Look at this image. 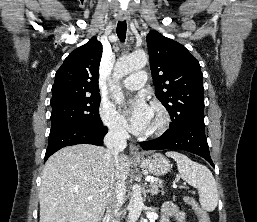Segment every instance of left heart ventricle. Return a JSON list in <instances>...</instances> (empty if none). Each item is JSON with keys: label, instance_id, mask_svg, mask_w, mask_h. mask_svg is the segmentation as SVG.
Instances as JSON below:
<instances>
[{"label": "left heart ventricle", "instance_id": "1", "mask_svg": "<svg viewBox=\"0 0 257 222\" xmlns=\"http://www.w3.org/2000/svg\"><path fill=\"white\" fill-rule=\"evenodd\" d=\"M155 120H156V113H155V111L152 109V119H151L149 128H151V127L154 125Z\"/></svg>", "mask_w": 257, "mask_h": 222}]
</instances>
